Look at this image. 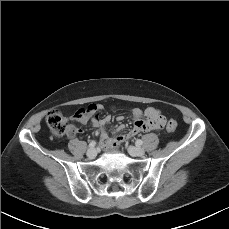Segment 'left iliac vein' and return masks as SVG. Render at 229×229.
I'll list each match as a JSON object with an SVG mask.
<instances>
[{
  "mask_svg": "<svg viewBox=\"0 0 229 229\" xmlns=\"http://www.w3.org/2000/svg\"><path fill=\"white\" fill-rule=\"evenodd\" d=\"M128 152L131 156H138V157H141L145 154V150L143 148L136 147V146H129Z\"/></svg>",
  "mask_w": 229,
  "mask_h": 229,
  "instance_id": "1",
  "label": "left iliac vein"
}]
</instances>
